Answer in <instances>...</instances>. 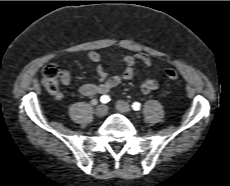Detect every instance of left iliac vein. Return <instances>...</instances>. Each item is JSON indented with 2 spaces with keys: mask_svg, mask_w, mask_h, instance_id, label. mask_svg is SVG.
Instances as JSON below:
<instances>
[{
  "mask_svg": "<svg viewBox=\"0 0 230 186\" xmlns=\"http://www.w3.org/2000/svg\"><path fill=\"white\" fill-rule=\"evenodd\" d=\"M116 108L118 111H120L122 113H130L131 112L130 105L127 102L122 101V100H120L116 103Z\"/></svg>",
  "mask_w": 230,
  "mask_h": 186,
  "instance_id": "left-iliac-vein-1",
  "label": "left iliac vein"
}]
</instances>
